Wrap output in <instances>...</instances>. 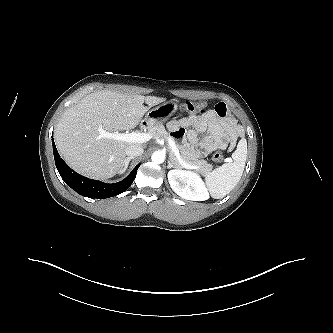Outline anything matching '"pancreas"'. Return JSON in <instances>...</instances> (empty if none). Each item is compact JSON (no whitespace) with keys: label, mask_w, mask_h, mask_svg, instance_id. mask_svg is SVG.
<instances>
[{"label":"pancreas","mask_w":333,"mask_h":333,"mask_svg":"<svg viewBox=\"0 0 333 333\" xmlns=\"http://www.w3.org/2000/svg\"><path fill=\"white\" fill-rule=\"evenodd\" d=\"M148 131L154 137H159V138L168 137V132L166 131L165 127L162 124H155V125L149 126ZM177 148L180 150L181 159L186 164L198 167L197 171H199L200 173L205 174L212 170V165L208 164L207 161H205L203 159L200 160L197 158V156L184 151L183 147L180 145H177ZM169 150H170V158H172L174 161H177L176 157L174 155V152L172 151L170 146H169Z\"/></svg>","instance_id":"1"}]
</instances>
